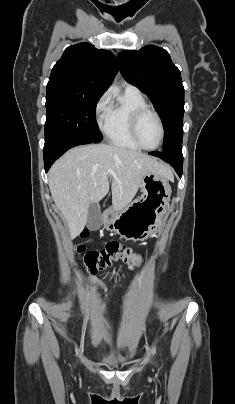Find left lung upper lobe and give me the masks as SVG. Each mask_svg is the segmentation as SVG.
<instances>
[{
  "instance_id": "1",
  "label": "left lung upper lobe",
  "mask_w": 235,
  "mask_h": 404,
  "mask_svg": "<svg viewBox=\"0 0 235 404\" xmlns=\"http://www.w3.org/2000/svg\"><path fill=\"white\" fill-rule=\"evenodd\" d=\"M117 61L124 79L147 94L159 113L165 130L163 151L181 150L184 87L169 53L147 45L138 51L121 52Z\"/></svg>"
}]
</instances>
